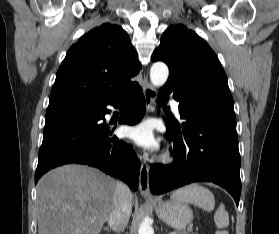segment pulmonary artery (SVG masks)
<instances>
[{
	"mask_svg": "<svg viewBox=\"0 0 279 234\" xmlns=\"http://www.w3.org/2000/svg\"><path fill=\"white\" fill-rule=\"evenodd\" d=\"M170 106H171L173 113H175V115L177 117H179V103L176 100H171Z\"/></svg>",
	"mask_w": 279,
	"mask_h": 234,
	"instance_id": "pulmonary-artery-1",
	"label": "pulmonary artery"
}]
</instances>
